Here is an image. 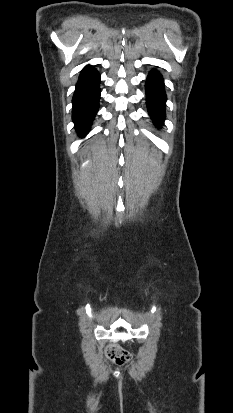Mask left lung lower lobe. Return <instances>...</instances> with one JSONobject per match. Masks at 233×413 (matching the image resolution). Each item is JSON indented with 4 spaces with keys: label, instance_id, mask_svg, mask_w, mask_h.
I'll list each match as a JSON object with an SVG mask.
<instances>
[{
    "label": "left lung lower lobe",
    "instance_id": "obj_1",
    "mask_svg": "<svg viewBox=\"0 0 233 413\" xmlns=\"http://www.w3.org/2000/svg\"><path fill=\"white\" fill-rule=\"evenodd\" d=\"M146 101L148 112L153 122L158 126L165 119L166 94L162 75L156 71H150L146 81Z\"/></svg>",
    "mask_w": 233,
    "mask_h": 413
}]
</instances>
